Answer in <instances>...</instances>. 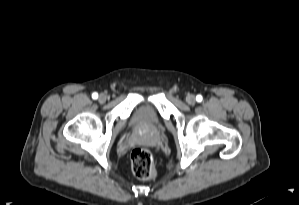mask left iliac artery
Wrapping results in <instances>:
<instances>
[{"mask_svg": "<svg viewBox=\"0 0 299 205\" xmlns=\"http://www.w3.org/2000/svg\"><path fill=\"white\" fill-rule=\"evenodd\" d=\"M202 99H203V98H202V96H201V95H197V96H196V100H197L198 102H201V101H202Z\"/></svg>", "mask_w": 299, "mask_h": 205, "instance_id": "1", "label": "left iliac artery"}]
</instances>
